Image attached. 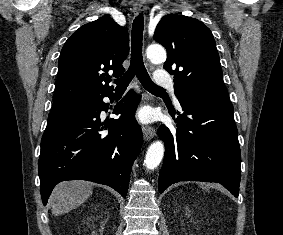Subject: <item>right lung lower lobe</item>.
Segmentation results:
<instances>
[{"label":"right lung lower lobe","instance_id":"1","mask_svg":"<svg viewBox=\"0 0 283 235\" xmlns=\"http://www.w3.org/2000/svg\"><path fill=\"white\" fill-rule=\"evenodd\" d=\"M104 97L111 99L113 93L89 99L77 114L46 127L38 162L43 205L56 184L73 179L108 185L126 197L131 166L142 145L134 118L140 97L130 91L114 108L120 118L101 122V111L108 110Z\"/></svg>","mask_w":283,"mask_h":235}]
</instances>
